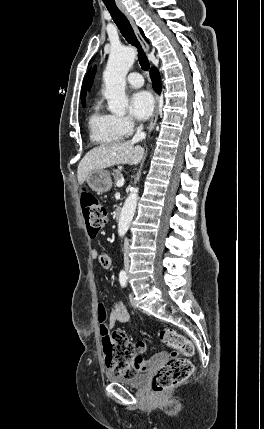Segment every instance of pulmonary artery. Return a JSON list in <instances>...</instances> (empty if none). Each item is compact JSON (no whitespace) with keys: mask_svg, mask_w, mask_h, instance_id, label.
Segmentation results:
<instances>
[{"mask_svg":"<svg viewBox=\"0 0 264 429\" xmlns=\"http://www.w3.org/2000/svg\"><path fill=\"white\" fill-rule=\"evenodd\" d=\"M127 83L134 88H139L143 85L144 80L140 73L138 72H131L127 76Z\"/></svg>","mask_w":264,"mask_h":429,"instance_id":"obj_1","label":"pulmonary artery"}]
</instances>
